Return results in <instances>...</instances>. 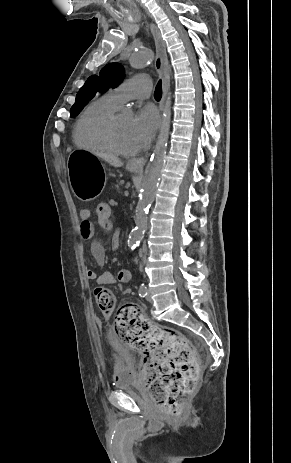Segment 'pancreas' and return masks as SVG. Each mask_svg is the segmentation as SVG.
Listing matches in <instances>:
<instances>
[{
  "label": "pancreas",
  "mask_w": 291,
  "mask_h": 463,
  "mask_svg": "<svg viewBox=\"0 0 291 463\" xmlns=\"http://www.w3.org/2000/svg\"><path fill=\"white\" fill-rule=\"evenodd\" d=\"M123 184H124V181L119 180L116 182V184L111 185L110 189L112 190L114 195L121 196L123 194Z\"/></svg>",
  "instance_id": "cf45deb5"
}]
</instances>
